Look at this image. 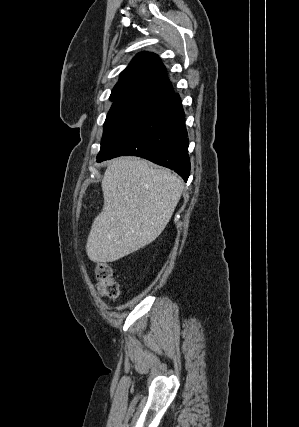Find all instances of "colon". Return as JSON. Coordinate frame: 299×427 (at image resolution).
<instances>
[{
    "instance_id": "1",
    "label": "colon",
    "mask_w": 299,
    "mask_h": 427,
    "mask_svg": "<svg viewBox=\"0 0 299 427\" xmlns=\"http://www.w3.org/2000/svg\"><path fill=\"white\" fill-rule=\"evenodd\" d=\"M95 274L101 296L113 300L117 299L120 288L113 269L107 263H99L96 266Z\"/></svg>"
}]
</instances>
